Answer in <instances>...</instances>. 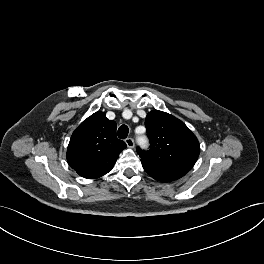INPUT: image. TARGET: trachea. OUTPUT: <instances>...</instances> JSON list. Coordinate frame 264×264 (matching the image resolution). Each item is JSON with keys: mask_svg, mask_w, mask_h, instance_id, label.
<instances>
[{"mask_svg": "<svg viewBox=\"0 0 264 264\" xmlns=\"http://www.w3.org/2000/svg\"><path fill=\"white\" fill-rule=\"evenodd\" d=\"M128 133H129V129L126 125H121L117 132L118 137L120 139H125L128 136Z\"/></svg>", "mask_w": 264, "mask_h": 264, "instance_id": "obj_1", "label": "trachea"}]
</instances>
